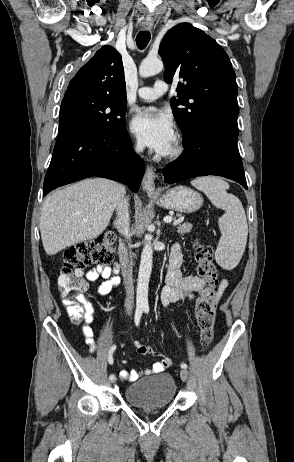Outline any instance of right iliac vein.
I'll use <instances>...</instances> for the list:
<instances>
[{
  "label": "right iliac vein",
  "instance_id": "obj_1",
  "mask_svg": "<svg viewBox=\"0 0 294 462\" xmlns=\"http://www.w3.org/2000/svg\"><path fill=\"white\" fill-rule=\"evenodd\" d=\"M111 382H112V383H115V382H116V378L112 379Z\"/></svg>",
  "mask_w": 294,
  "mask_h": 462
}]
</instances>
